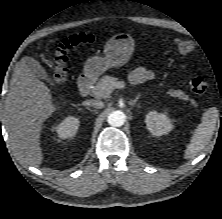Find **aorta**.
I'll list each match as a JSON object with an SVG mask.
<instances>
[{"instance_id": "1", "label": "aorta", "mask_w": 222, "mask_h": 219, "mask_svg": "<svg viewBox=\"0 0 222 219\" xmlns=\"http://www.w3.org/2000/svg\"><path fill=\"white\" fill-rule=\"evenodd\" d=\"M125 120H126V116H125L124 112H122L120 110H116V111L111 112L108 115L107 122L111 126L120 127V126L124 125Z\"/></svg>"}]
</instances>
